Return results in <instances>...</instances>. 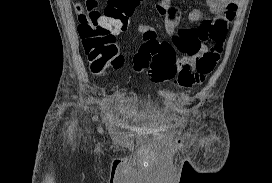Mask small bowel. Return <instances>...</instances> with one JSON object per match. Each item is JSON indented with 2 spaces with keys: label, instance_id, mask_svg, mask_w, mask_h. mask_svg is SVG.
Returning <instances> with one entry per match:
<instances>
[{
  "label": "small bowel",
  "instance_id": "1",
  "mask_svg": "<svg viewBox=\"0 0 272 183\" xmlns=\"http://www.w3.org/2000/svg\"><path fill=\"white\" fill-rule=\"evenodd\" d=\"M206 3L215 18H207L200 9H192L187 14L190 26L183 29H180L181 11L170 0H162L155 5L156 11L164 17L165 33L169 36L176 34L173 45L185 54L177 60L178 68L192 66L208 50L211 42L224 40L229 25L235 19L237 0H206ZM138 31L144 42L157 40L156 29L150 25L140 24Z\"/></svg>",
  "mask_w": 272,
  "mask_h": 183
}]
</instances>
